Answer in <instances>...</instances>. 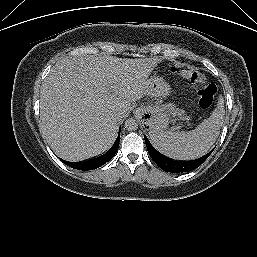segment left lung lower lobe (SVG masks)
Listing matches in <instances>:
<instances>
[{
	"label": "left lung lower lobe",
	"instance_id": "1",
	"mask_svg": "<svg viewBox=\"0 0 257 257\" xmlns=\"http://www.w3.org/2000/svg\"><path fill=\"white\" fill-rule=\"evenodd\" d=\"M144 139H145L148 153L150 154L151 158L165 172L182 173V172L192 171L197 167H199L210 156V154L213 151L212 150L206 155L195 160L175 161L163 156L158 151H156V149H154V147L151 145L147 137H144Z\"/></svg>",
	"mask_w": 257,
	"mask_h": 257
}]
</instances>
